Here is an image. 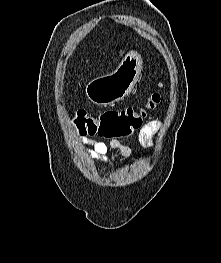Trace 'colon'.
Masks as SVG:
<instances>
[{
    "label": "colon",
    "instance_id": "colon-1",
    "mask_svg": "<svg viewBox=\"0 0 221 263\" xmlns=\"http://www.w3.org/2000/svg\"><path fill=\"white\" fill-rule=\"evenodd\" d=\"M160 100V94L153 92L139 107L107 110L97 116L89 115L84 110H79L74 123L82 136L126 137L141 127L147 112L154 109Z\"/></svg>",
    "mask_w": 221,
    "mask_h": 263
}]
</instances>
